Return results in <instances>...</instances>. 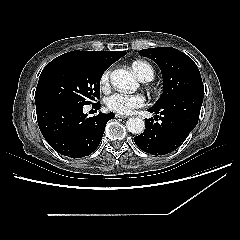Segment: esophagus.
<instances>
[{"label":"esophagus","mask_w":240,"mask_h":240,"mask_svg":"<svg viewBox=\"0 0 240 240\" xmlns=\"http://www.w3.org/2000/svg\"><path fill=\"white\" fill-rule=\"evenodd\" d=\"M115 117H117V118H122V119L128 118L127 115H121V114H115Z\"/></svg>","instance_id":"esophagus-1"}]
</instances>
